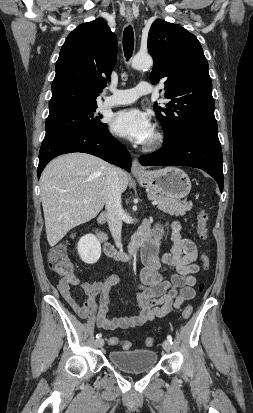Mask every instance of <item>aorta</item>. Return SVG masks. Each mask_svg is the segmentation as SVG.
I'll use <instances>...</instances> for the list:
<instances>
[{"label": "aorta", "mask_w": 253, "mask_h": 413, "mask_svg": "<svg viewBox=\"0 0 253 413\" xmlns=\"http://www.w3.org/2000/svg\"><path fill=\"white\" fill-rule=\"evenodd\" d=\"M153 65V59L150 55L148 54H137L133 57L131 61V66L134 69H145V68H150Z\"/></svg>", "instance_id": "aorta-1"}]
</instances>
